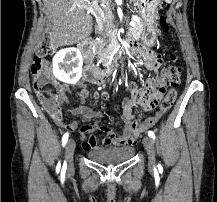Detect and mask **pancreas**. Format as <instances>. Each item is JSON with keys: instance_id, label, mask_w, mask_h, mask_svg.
<instances>
[{"instance_id": "pancreas-1", "label": "pancreas", "mask_w": 217, "mask_h": 202, "mask_svg": "<svg viewBox=\"0 0 217 202\" xmlns=\"http://www.w3.org/2000/svg\"><path fill=\"white\" fill-rule=\"evenodd\" d=\"M129 32L130 34H132V38H134V40H140V34H142V24L141 22H139V24H137L136 22V26H133V28H129ZM111 42H113V44H115V42H117V38H116V32H113V34H111Z\"/></svg>"}]
</instances>
